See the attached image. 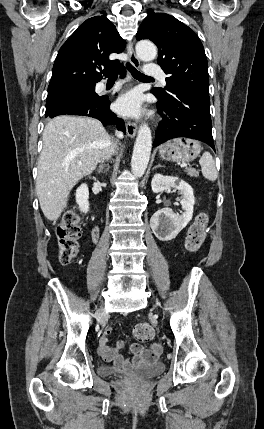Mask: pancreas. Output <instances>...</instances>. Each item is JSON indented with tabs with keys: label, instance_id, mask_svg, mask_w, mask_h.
I'll use <instances>...</instances> for the list:
<instances>
[{
	"label": "pancreas",
	"instance_id": "cf45deb5",
	"mask_svg": "<svg viewBox=\"0 0 264 429\" xmlns=\"http://www.w3.org/2000/svg\"><path fill=\"white\" fill-rule=\"evenodd\" d=\"M187 173L188 175L192 176V177H198V172L194 169H187Z\"/></svg>",
	"mask_w": 264,
	"mask_h": 429
}]
</instances>
